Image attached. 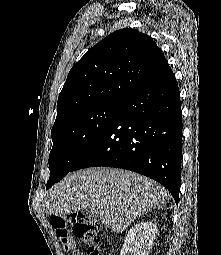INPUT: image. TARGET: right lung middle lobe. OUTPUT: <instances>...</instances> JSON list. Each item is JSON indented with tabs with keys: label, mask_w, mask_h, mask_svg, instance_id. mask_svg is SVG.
<instances>
[{
	"label": "right lung middle lobe",
	"mask_w": 221,
	"mask_h": 255,
	"mask_svg": "<svg viewBox=\"0 0 221 255\" xmlns=\"http://www.w3.org/2000/svg\"><path fill=\"white\" fill-rule=\"evenodd\" d=\"M119 106L120 103H103L84 108L53 126L47 188L71 171L104 131Z\"/></svg>",
	"instance_id": "1"
}]
</instances>
